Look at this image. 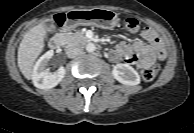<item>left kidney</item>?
<instances>
[{"instance_id": "5707ae66", "label": "left kidney", "mask_w": 194, "mask_h": 133, "mask_svg": "<svg viewBox=\"0 0 194 133\" xmlns=\"http://www.w3.org/2000/svg\"><path fill=\"white\" fill-rule=\"evenodd\" d=\"M113 77L120 83L135 86L140 83V76L134 68L128 64H117L112 70Z\"/></svg>"}]
</instances>
